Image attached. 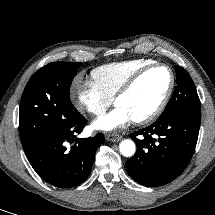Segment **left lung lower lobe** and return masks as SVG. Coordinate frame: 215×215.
<instances>
[{"label":"left lung lower lobe","mask_w":215,"mask_h":215,"mask_svg":"<svg viewBox=\"0 0 215 215\" xmlns=\"http://www.w3.org/2000/svg\"><path fill=\"white\" fill-rule=\"evenodd\" d=\"M200 120V116L173 113L130 134L137 145L135 155L126 162L131 178L146 187L162 186L177 178L194 153Z\"/></svg>","instance_id":"left-lung-lower-lobe-1"}]
</instances>
